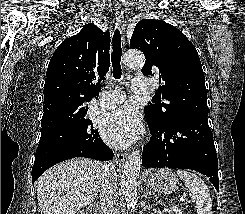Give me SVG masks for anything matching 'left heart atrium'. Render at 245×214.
Masks as SVG:
<instances>
[{
  "label": "left heart atrium",
  "instance_id": "39dd6f15",
  "mask_svg": "<svg viewBox=\"0 0 245 214\" xmlns=\"http://www.w3.org/2000/svg\"><path fill=\"white\" fill-rule=\"evenodd\" d=\"M100 132L109 145L124 148L138 139L142 126L136 111L130 106H122L102 119Z\"/></svg>",
  "mask_w": 245,
  "mask_h": 214
}]
</instances>
